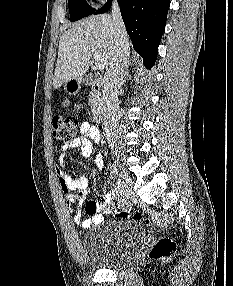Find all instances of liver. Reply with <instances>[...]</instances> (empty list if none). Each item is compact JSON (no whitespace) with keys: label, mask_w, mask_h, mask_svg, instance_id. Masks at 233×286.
<instances>
[{"label":"liver","mask_w":233,"mask_h":286,"mask_svg":"<svg viewBox=\"0 0 233 286\" xmlns=\"http://www.w3.org/2000/svg\"><path fill=\"white\" fill-rule=\"evenodd\" d=\"M129 46V37L124 32ZM116 49V31L109 14L90 16L73 25L60 38L53 87L60 88L64 83L83 76L89 69L94 53L104 59L109 68Z\"/></svg>","instance_id":"liver-1"}]
</instances>
